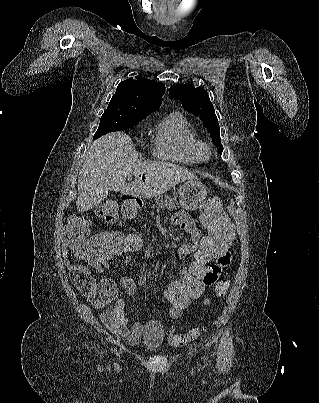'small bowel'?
<instances>
[{
	"mask_svg": "<svg viewBox=\"0 0 319 403\" xmlns=\"http://www.w3.org/2000/svg\"><path fill=\"white\" fill-rule=\"evenodd\" d=\"M171 223L188 233L191 238L190 243H185L179 246L178 255H193V257L196 258L198 242H201V238H204L200 229L186 213H176L172 217ZM140 240L142 239L140 238ZM70 251L71 248L63 249L65 266L70 271L89 272L90 267L98 274H103L105 268L108 266L109 260L111 259L101 258L100 254H98L96 257H87L84 259V261L88 264V267L85 265L72 263L68 259ZM230 255L231 252L229 250L219 253L218 260L214 263V265L209 267V271H205L203 273L204 285L213 286L215 284V281L219 277L220 271H223L227 266ZM188 267H190V265ZM180 275H187V267L180 270ZM115 281L118 285H113L111 279H94L90 287V291L88 292V299L92 300V304L94 305L95 309H105L101 313V318L105 326L108 328V335H116L127 344H136L145 333V329L141 324L138 323L129 325L125 314L126 303L124 299L118 298V294L119 286L129 296H132L136 293L137 287L131 275L117 278ZM174 282H179V280ZM167 294L168 291H164L165 299ZM201 297L202 296H199V299ZM114 300L116 301L113 304ZM204 303L209 304L210 300L205 299ZM107 305L112 306L107 308ZM181 315L182 313H170V316L173 319H177Z\"/></svg>",
	"mask_w": 319,
	"mask_h": 403,
	"instance_id": "obj_1",
	"label": "small bowel"
}]
</instances>
